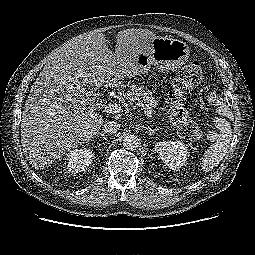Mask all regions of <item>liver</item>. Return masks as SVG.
<instances>
[{"label":"liver","instance_id":"6515ba94","mask_svg":"<svg viewBox=\"0 0 255 255\" xmlns=\"http://www.w3.org/2000/svg\"><path fill=\"white\" fill-rule=\"evenodd\" d=\"M155 37L148 29L119 31L114 53L103 33L90 32L54 52L31 88L21 119V143L32 167L42 169L97 135L104 120L81 85L118 84Z\"/></svg>","mask_w":255,"mask_h":255}]
</instances>
